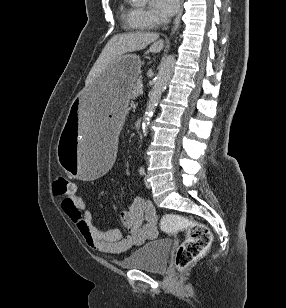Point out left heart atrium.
<instances>
[{
  "instance_id": "obj_1",
  "label": "left heart atrium",
  "mask_w": 286,
  "mask_h": 308,
  "mask_svg": "<svg viewBox=\"0 0 286 308\" xmlns=\"http://www.w3.org/2000/svg\"><path fill=\"white\" fill-rule=\"evenodd\" d=\"M179 0H152L153 10L161 18L171 17L178 9Z\"/></svg>"
}]
</instances>
